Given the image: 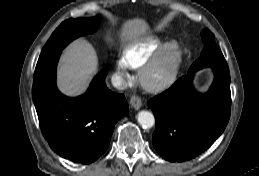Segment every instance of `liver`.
Instances as JSON below:
<instances>
[{"instance_id": "6515ba94", "label": "liver", "mask_w": 259, "mask_h": 176, "mask_svg": "<svg viewBox=\"0 0 259 176\" xmlns=\"http://www.w3.org/2000/svg\"><path fill=\"white\" fill-rule=\"evenodd\" d=\"M148 24L143 19L135 18L124 23L122 39L138 40L148 31ZM98 59L92 45L78 39L72 42L63 52L58 69V87L68 96L82 94L97 72Z\"/></svg>"}]
</instances>
